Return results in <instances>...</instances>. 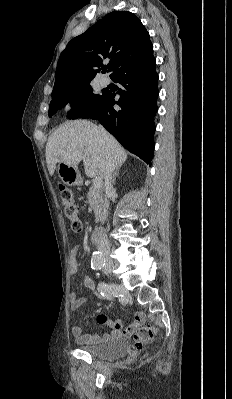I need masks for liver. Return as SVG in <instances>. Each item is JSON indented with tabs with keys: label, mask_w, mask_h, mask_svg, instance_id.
I'll use <instances>...</instances> for the list:
<instances>
[{
	"label": "liver",
	"mask_w": 232,
	"mask_h": 399,
	"mask_svg": "<svg viewBox=\"0 0 232 399\" xmlns=\"http://www.w3.org/2000/svg\"><path fill=\"white\" fill-rule=\"evenodd\" d=\"M45 156L50 176H53L59 162L77 168L83 160L88 178H104V172L110 162L122 166L127 160V154L117 140L113 136L104 140L100 126L88 120H74L61 124L58 130L49 136Z\"/></svg>",
	"instance_id": "liver-1"
}]
</instances>
